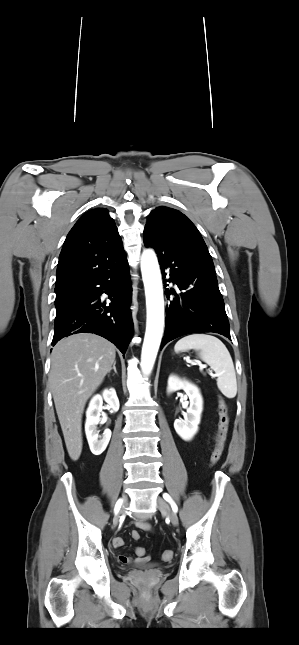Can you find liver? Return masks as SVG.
<instances>
[{"label": "liver", "mask_w": 299, "mask_h": 645, "mask_svg": "<svg viewBox=\"0 0 299 645\" xmlns=\"http://www.w3.org/2000/svg\"><path fill=\"white\" fill-rule=\"evenodd\" d=\"M108 340L79 333L60 340L51 354L49 383L66 448L73 461L82 451V414L89 397L115 362Z\"/></svg>", "instance_id": "1"}]
</instances>
